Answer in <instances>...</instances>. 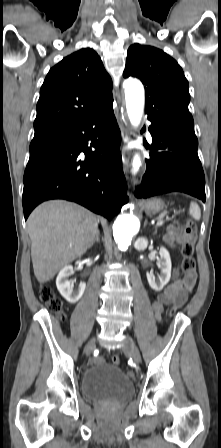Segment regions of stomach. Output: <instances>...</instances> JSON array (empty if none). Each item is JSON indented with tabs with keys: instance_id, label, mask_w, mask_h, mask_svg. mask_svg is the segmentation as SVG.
Wrapping results in <instances>:
<instances>
[{
	"instance_id": "stomach-1",
	"label": "stomach",
	"mask_w": 221,
	"mask_h": 448,
	"mask_svg": "<svg viewBox=\"0 0 221 448\" xmlns=\"http://www.w3.org/2000/svg\"><path fill=\"white\" fill-rule=\"evenodd\" d=\"M143 208L148 215H154L164 210L165 205L161 199L153 198L147 201Z\"/></svg>"
}]
</instances>
